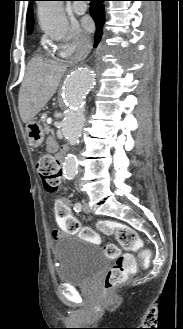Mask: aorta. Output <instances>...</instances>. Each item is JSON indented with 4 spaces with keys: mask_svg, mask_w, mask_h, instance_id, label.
Wrapping results in <instances>:
<instances>
[{
    "mask_svg": "<svg viewBox=\"0 0 183 329\" xmlns=\"http://www.w3.org/2000/svg\"><path fill=\"white\" fill-rule=\"evenodd\" d=\"M38 18L42 30L54 39H62L67 34L69 22L63 11L62 1H39ZM96 70L91 66H80L66 78L62 98L66 113L62 121V133L67 142L75 145L79 142L84 123V102L95 87ZM77 159L68 154L63 163L64 175L68 180L77 174Z\"/></svg>",
    "mask_w": 183,
    "mask_h": 329,
    "instance_id": "762f6f07",
    "label": "aorta"
}]
</instances>
